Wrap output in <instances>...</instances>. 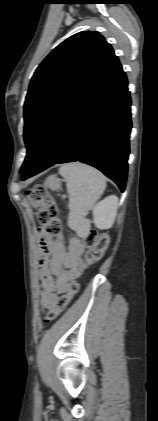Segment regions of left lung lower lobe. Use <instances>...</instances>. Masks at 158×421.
I'll list each match as a JSON object with an SVG mask.
<instances>
[{"instance_id": "0a47b994", "label": "left lung lower lobe", "mask_w": 158, "mask_h": 421, "mask_svg": "<svg viewBox=\"0 0 158 421\" xmlns=\"http://www.w3.org/2000/svg\"><path fill=\"white\" fill-rule=\"evenodd\" d=\"M127 85L122 66L114 56L61 112L21 179L57 163L80 161L102 171L123 192L131 130Z\"/></svg>"}]
</instances>
